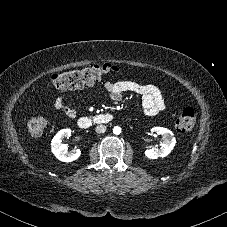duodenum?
<instances>
[{"instance_id": "duodenum-1", "label": "duodenum", "mask_w": 227, "mask_h": 227, "mask_svg": "<svg viewBox=\"0 0 227 227\" xmlns=\"http://www.w3.org/2000/svg\"><path fill=\"white\" fill-rule=\"evenodd\" d=\"M113 116L109 113L100 114L94 117H81L78 120V126L82 129H88L94 125L108 123L112 120Z\"/></svg>"}]
</instances>
